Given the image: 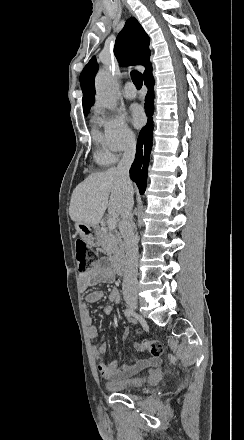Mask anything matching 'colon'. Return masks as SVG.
<instances>
[{
    "label": "colon",
    "mask_w": 244,
    "mask_h": 440,
    "mask_svg": "<svg viewBox=\"0 0 244 440\" xmlns=\"http://www.w3.org/2000/svg\"><path fill=\"white\" fill-rule=\"evenodd\" d=\"M75 246L78 272L84 273L89 267L98 264V252L94 249H88L85 241L78 240ZM141 350L155 358L162 357L165 353L163 344L160 341L149 339H144L141 342Z\"/></svg>",
    "instance_id": "5ec220e1"
}]
</instances>
